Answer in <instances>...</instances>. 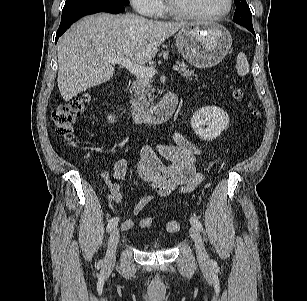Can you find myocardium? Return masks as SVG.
Returning <instances> with one entry per match:
<instances>
[{"instance_id":"1","label":"myocardium","mask_w":307,"mask_h":301,"mask_svg":"<svg viewBox=\"0 0 307 301\" xmlns=\"http://www.w3.org/2000/svg\"><path fill=\"white\" fill-rule=\"evenodd\" d=\"M234 0H228L227 7L224 11L212 15H203V14H195L190 13L178 5L172 3L170 0L165 1L166 10L171 15L178 17L180 19L189 20V21H214L219 20L225 16H227L231 10L233 9Z\"/></svg>"}]
</instances>
